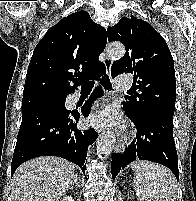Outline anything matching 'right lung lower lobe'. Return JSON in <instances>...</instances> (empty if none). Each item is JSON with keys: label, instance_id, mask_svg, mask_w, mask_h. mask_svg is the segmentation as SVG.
<instances>
[{"label": "right lung lower lobe", "instance_id": "98d812e1", "mask_svg": "<svg viewBox=\"0 0 196 201\" xmlns=\"http://www.w3.org/2000/svg\"><path fill=\"white\" fill-rule=\"evenodd\" d=\"M101 94L102 91L96 88L91 100L82 108L84 116H88L92 101ZM79 118L80 114L74 111L68 115L49 111L22 114L11 175L23 162L38 156L62 157L77 164L85 172L87 147L95 142L98 134L93 129L79 130L77 128Z\"/></svg>", "mask_w": 196, "mask_h": 201}]
</instances>
